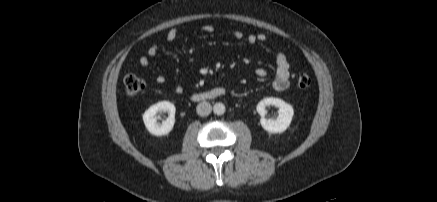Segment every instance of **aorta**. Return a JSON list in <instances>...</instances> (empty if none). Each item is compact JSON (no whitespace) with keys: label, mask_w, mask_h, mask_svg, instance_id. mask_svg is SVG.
I'll return each mask as SVG.
<instances>
[{"label":"aorta","mask_w":437,"mask_h":202,"mask_svg":"<svg viewBox=\"0 0 437 202\" xmlns=\"http://www.w3.org/2000/svg\"><path fill=\"white\" fill-rule=\"evenodd\" d=\"M213 112L216 114V115H222V114H224L225 113V105L223 104V103H216L214 106H213Z\"/></svg>","instance_id":"1"}]
</instances>
